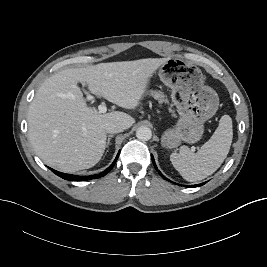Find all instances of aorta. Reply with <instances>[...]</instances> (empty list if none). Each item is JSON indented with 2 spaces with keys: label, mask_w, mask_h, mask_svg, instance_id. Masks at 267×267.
<instances>
[{
  "label": "aorta",
  "mask_w": 267,
  "mask_h": 267,
  "mask_svg": "<svg viewBox=\"0 0 267 267\" xmlns=\"http://www.w3.org/2000/svg\"><path fill=\"white\" fill-rule=\"evenodd\" d=\"M136 137L141 141H148L152 137L151 129L146 126H141L136 131Z\"/></svg>",
  "instance_id": "aorta-1"
}]
</instances>
